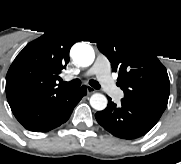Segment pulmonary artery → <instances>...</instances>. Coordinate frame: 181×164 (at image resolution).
Wrapping results in <instances>:
<instances>
[{
	"label": "pulmonary artery",
	"mask_w": 181,
	"mask_h": 164,
	"mask_svg": "<svg viewBox=\"0 0 181 164\" xmlns=\"http://www.w3.org/2000/svg\"><path fill=\"white\" fill-rule=\"evenodd\" d=\"M84 75H96L105 92L117 98H122V92L114 85L109 69L105 64L96 62Z\"/></svg>",
	"instance_id": "pulmonary-artery-1"
}]
</instances>
